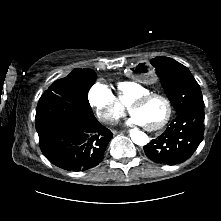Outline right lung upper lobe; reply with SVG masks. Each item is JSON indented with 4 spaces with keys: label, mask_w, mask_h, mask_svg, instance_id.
Wrapping results in <instances>:
<instances>
[{
    "label": "right lung upper lobe",
    "mask_w": 221,
    "mask_h": 221,
    "mask_svg": "<svg viewBox=\"0 0 221 221\" xmlns=\"http://www.w3.org/2000/svg\"><path fill=\"white\" fill-rule=\"evenodd\" d=\"M84 70H88V69H74L71 73H70V75L72 76V75H75L76 73H78V72H83Z\"/></svg>",
    "instance_id": "cb5924a9"
}]
</instances>
